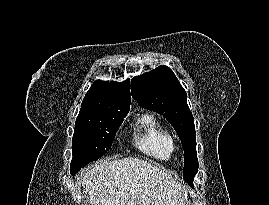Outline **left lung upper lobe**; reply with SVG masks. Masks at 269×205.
<instances>
[{
  "label": "left lung upper lobe",
  "mask_w": 269,
  "mask_h": 205,
  "mask_svg": "<svg viewBox=\"0 0 269 205\" xmlns=\"http://www.w3.org/2000/svg\"><path fill=\"white\" fill-rule=\"evenodd\" d=\"M132 97L138 104L163 115L176 130L184 148L183 179L193 187L198 171L193 115L187 105L186 91L172 70L165 65L134 77Z\"/></svg>",
  "instance_id": "obj_1"
}]
</instances>
